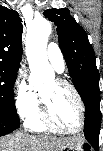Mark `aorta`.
I'll return each instance as SVG.
<instances>
[{
	"mask_svg": "<svg viewBox=\"0 0 103 151\" xmlns=\"http://www.w3.org/2000/svg\"><path fill=\"white\" fill-rule=\"evenodd\" d=\"M50 33L51 24L44 18L32 21L27 28L26 55L32 76L51 71L46 52Z\"/></svg>",
	"mask_w": 103,
	"mask_h": 151,
	"instance_id": "aorta-1",
	"label": "aorta"
}]
</instances>
